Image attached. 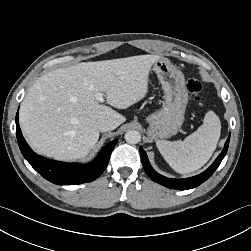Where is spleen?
Masks as SVG:
<instances>
[{
    "label": "spleen",
    "mask_w": 251,
    "mask_h": 251,
    "mask_svg": "<svg viewBox=\"0 0 251 251\" xmlns=\"http://www.w3.org/2000/svg\"><path fill=\"white\" fill-rule=\"evenodd\" d=\"M220 133V119L213 111H209L203 124L183 141L158 140L156 146L173 170L187 174L208 162L217 147Z\"/></svg>",
    "instance_id": "1"
}]
</instances>
